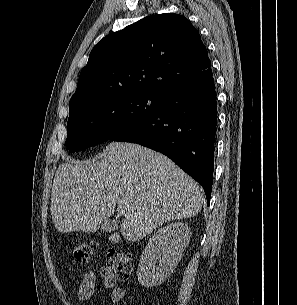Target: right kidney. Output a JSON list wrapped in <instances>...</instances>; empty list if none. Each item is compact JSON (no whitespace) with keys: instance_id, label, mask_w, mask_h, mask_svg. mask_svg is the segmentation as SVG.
Listing matches in <instances>:
<instances>
[{"instance_id":"right-kidney-1","label":"right kidney","mask_w":297,"mask_h":305,"mask_svg":"<svg viewBox=\"0 0 297 305\" xmlns=\"http://www.w3.org/2000/svg\"><path fill=\"white\" fill-rule=\"evenodd\" d=\"M190 238V228L181 222L164 226L154 233L140 257L138 282L147 288L163 283L181 260Z\"/></svg>"}]
</instances>
